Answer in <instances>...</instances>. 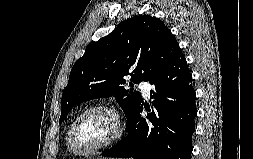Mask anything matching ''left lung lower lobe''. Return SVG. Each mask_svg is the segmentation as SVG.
Listing matches in <instances>:
<instances>
[{"mask_svg":"<svg viewBox=\"0 0 253 159\" xmlns=\"http://www.w3.org/2000/svg\"><path fill=\"white\" fill-rule=\"evenodd\" d=\"M149 83L154 109L142 118L141 103L127 119L128 135L103 156L138 159H191L196 93L186 59L179 50Z\"/></svg>","mask_w":253,"mask_h":159,"instance_id":"obj_1","label":"left lung lower lobe"}]
</instances>
